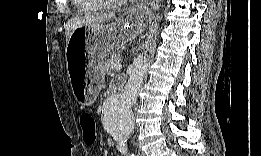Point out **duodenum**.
Masks as SVG:
<instances>
[{
    "label": "duodenum",
    "mask_w": 261,
    "mask_h": 156,
    "mask_svg": "<svg viewBox=\"0 0 261 156\" xmlns=\"http://www.w3.org/2000/svg\"><path fill=\"white\" fill-rule=\"evenodd\" d=\"M121 87H122V84H118V85L112 87V88L110 89V92H109V98L114 97V96L117 94L118 90H119Z\"/></svg>",
    "instance_id": "obj_1"
}]
</instances>
